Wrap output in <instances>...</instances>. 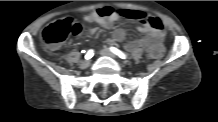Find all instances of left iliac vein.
Listing matches in <instances>:
<instances>
[{
	"label": "left iliac vein",
	"instance_id": "4c4485c4",
	"mask_svg": "<svg viewBox=\"0 0 218 122\" xmlns=\"http://www.w3.org/2000/svg\"><path fill=\"white\" fill-rule=\"evenodd\" d=\"M100 54L103 56H108V57L113 58V59H117L116 56L112 53V51H110L107 48H102L100 50Z\"/></svg>",
	"mask_w": 218,
	"mask_h": 122
}]
</instances>
